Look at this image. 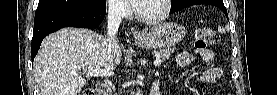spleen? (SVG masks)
Masks as SVG:
<instances>
[{
	"label": "spleen",
	"instance_id": "obj_1",
	"mask_svg": "<svg viewBox=\"0 0 277 95\" xmlns=\"http://www.w3.org/2000/svg\"><path fill=\"white\" fill-rule=\"evenodd\" d=\"M218 30H219V32H221V33H225V29H224L223 27H221V26L218 27Z\"/></svg>",
	"mask_w": 277,
	"mask_h": 95
}]
</instances>
